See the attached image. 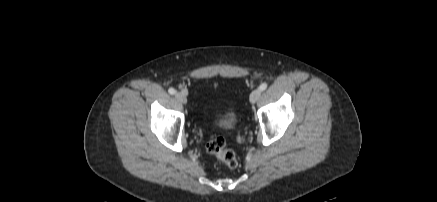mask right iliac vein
Masks as SVG:
<instances>
[{"instance_id":"right-iliac-vein-1","label":"right iliac vein","mask_w":437,"mask_h":202,"mask_svg":"<svg viewBox=\"0 0 437 202\" xmlns=\"http://www.w3.org/2000/svg\"><path fill=\"white\" fill-rule=\"evenodd\" d=\"M175 98L181 102L182 104H186L187 103V97H186V93L181 91V92H176L175 94Z\"/></svg>"}]
</instances>
